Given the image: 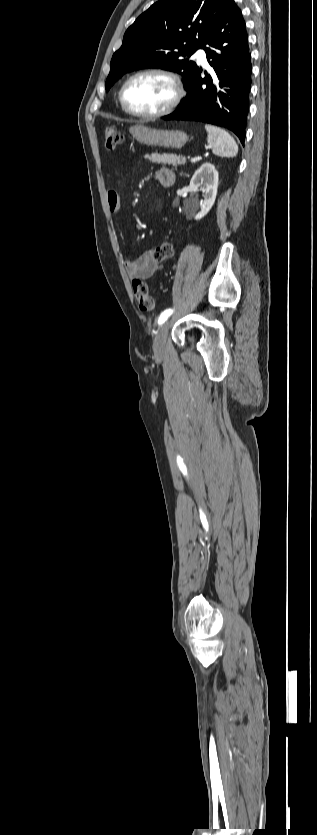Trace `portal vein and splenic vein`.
Instances as JSON below:
<instances>
[{"mask_svg":"<svg viewBox=\"0 0 317 835\" xmlns=\"http://www.w3.org/2000/svg\"><path fill=\"white\" fill-rule=\"evenodd\" d=\"M199 158H191V161H197ZM179 163V161H178Z\"/></svg>","mask_w":317,"mask_h":835,"instance_id":"18ae733b","label":"portal vein and splenic vein"}]
</instances>
